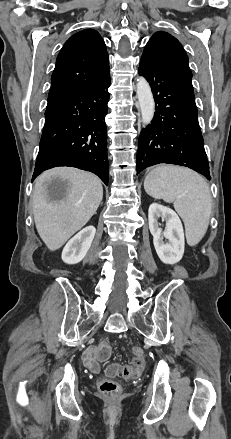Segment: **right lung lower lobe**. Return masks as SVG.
Here are the masks:
<instances>
[{
  "label": "right lung lower lobe",
  "instance_id": "98d812e1",
  "mask_svg": "<svg viewBox=\"0 0 231 439\" xmlns=\"http://www.w3.org/2000/svg\"><path fill=\"white\" fill-rule=\"evenodd\" d=\"M110 76L45 111L32 181L44 170L71 166L93 172L108 185L107 128Z\"/></svg>",
  "mask_w": 231,
  "mask_h": 439
}]
</instances>
